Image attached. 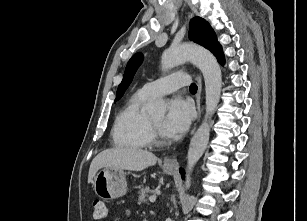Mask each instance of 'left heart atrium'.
<instances>
[{
    "label": "left heart atrium",
    "mask_w": 307,
    "mask_h": 221,
    "mask_svg": "<svg viewBox=\"0 0 307 221\" xmlns=\"http://www.w3.org/2000/svg\"><path fill=\"white\" fill-rule=\"evenodd\" d=\"M193 110L188 101L174 98L169 104V110L162 124V132L169 138L181 136L189 127Z\"/></svg>",
    "instance_id": "39dd6f15"
}]
</instances>
